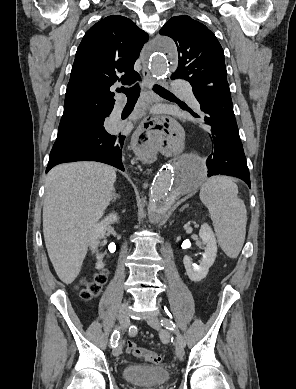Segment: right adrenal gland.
I'll return each mask as SVG.
<instances>
[{"mask_svg": "<svg viewBox=\"0 0 296 389\" xmlns=\"http://www.w3.org/2000/svg\"><path fill=\"white\" fill-rule=\"evenodd\" d=\"M117 199H120V195L114 191L112 202H116Z\"/></svg>", "mask_w": 296, "mask_h": 389, "instance_id": "2a0ac1e0", "label": "right adrenal gland"}]
</instances>
